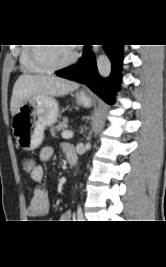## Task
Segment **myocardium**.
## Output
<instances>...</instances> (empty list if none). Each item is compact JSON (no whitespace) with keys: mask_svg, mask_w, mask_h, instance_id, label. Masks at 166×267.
I'll list each match as a JSON object with an SVG mask.
<instances>
[{"mask_svg":"<svg viewBox=\"0 0 166 267\" xmlns=\"http://www.w3.org/2000/svg\"><path fill=\"white\" fill-rule=\"evenodd\" d=\"M42 47L43 46H41V44H35V46L32 47L33 59L38 65L42 66L43 68L49 71H56V70L67 68L73 63H75V61L78 58V52L74 50L69 60H67L64 63L53 64L49 62L48 60H46L45 57L43 56Z\"/></svg>","mask_w":166,"mask_h":267,"instance_id":"1","label":"myocardium"}]
</instances>
